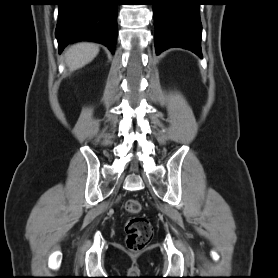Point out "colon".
I'll list each match as a JSON object with an SVG mask.
<instances>
[{"label":"colon","instance_id":"obj_1","mask_svg":"<svg viewBox=\"0 0 278 278\" xmlns=\"http://www.w3.org/2000/svg\"><path fill=\"white\" fill-rule=\"evenodd\" d=\"M141 208L142 205L137 199H129L125 203V210L130 215L125 224L126 244L133 251L143 249L150 242L153 235L149 220L137 215Z\"/></svg>","mask_w":278,"mask_h":278}]
</instances>
